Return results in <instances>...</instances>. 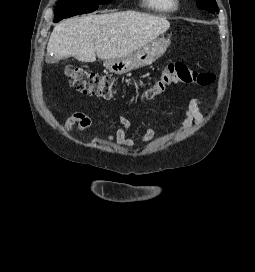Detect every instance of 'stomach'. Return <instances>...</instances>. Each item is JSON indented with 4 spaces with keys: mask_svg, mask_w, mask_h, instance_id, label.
<instances>
[{
    "mask_svg": "<svg viewBox=\"0 0 255 272\" xmlns=\"http://www.w3.org/2000/svg\"><path fill=\"white\" fill-rule=\"evenodd\" d=\"M169 45L170 40L161 37L137 49L126 57L105 61L104 66L111 73L121 75L131 70L151 65L165 53Z\"/></svg>",
    "mask_w": 255,
    "mask_h": 272,
    "instance_id": "0dacf381",
    "label": "stomach"
}]
</instances>
